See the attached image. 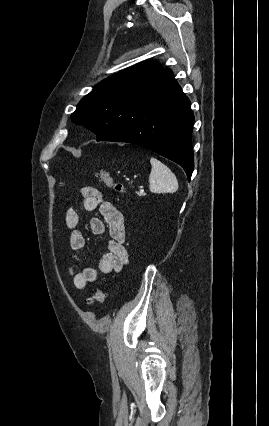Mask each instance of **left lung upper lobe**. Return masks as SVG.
<instances>
[{
	"label": "left lung upper lobe",
	"mask_w": 269,
	"mask_h": 426,
	"mask_svg": "<svg viewBox=\"0 0 269 426\" xmlns=\"http://www.w3.org/2000/svg\"><path fill=\"white\" fill-rule=\"evenodd\" d=\"M163 70L157 61H145L114 74L97 84L77 105L72 121L97 135L110 137L132 96L149 85Z\"/></svg>",
	"instance_id": "5c2ea615"
}]
</instances>
